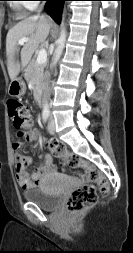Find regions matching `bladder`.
<instances>
[{
	"mask_svg": "<svg viewBox=\"0 0 133 253\" xmlns=\"http://www.w3.org/2000/svg\"><path fill=\"white\" fill-rule=\"evenodd\" d=\"M22 195L26 201L46 211H52L57 208L62 199L59 192L49 191L42 187L26 189L23 191Z\"/></svg>",
	"mask_w": 133,
	"mask_h": 253,
	"instance_id": "31cf9c89",
	"label": "bladder"
}]
</instances>
